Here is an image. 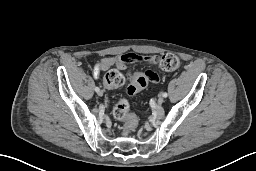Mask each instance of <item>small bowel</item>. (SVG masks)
I'll list each match as a JSON object with an SVG mask.
<instances>
[{"label":"small bowel","mask_w":256,"mask_h":171,"mask_svg":"<svg viewBox=\"0 0 256 171\" xmlns=\"http://www.w3.org/2000/svg\"><path fill=\"white\" fill-rule=\"evenodd\" d=\"M157 61L156 55H139L134 53H126L116 57H107L104 58L99 65H97L93 71V74L96 78L100 77V71H106L112 67L118 69H124L126 63L130 62H145L149 64H154ZM147 80L153 83H158L160 78L157 73L154 71L148 70L144 73ZM105 82V81H104ZM107 87H110L105 83Z\"/></svg>","instance_id":"obj_1"}]
</instances>
